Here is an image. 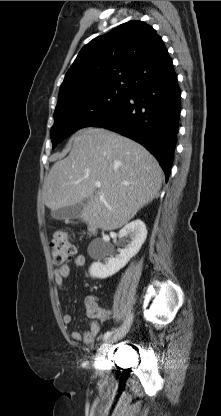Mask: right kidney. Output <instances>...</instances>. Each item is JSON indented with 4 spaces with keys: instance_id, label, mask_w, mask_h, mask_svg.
I'll return each mask as SVG.
<instances>
[{
    "instance_id": "ca27d5eb",
    "label": "right kidney",
    "mask_w": 221,
    "mask_h": 416,
    "mask_svg": "<svg viewBox=\"0 0 221 416\" xmlns=\"http://www.w3.org/2000/svg\"><path fill=\"white\" fill-rule=\"evenodd\" d=\"M129 235L131 241L124 248L119 250V254L115 257L110 256L105 258L107 255V246H102V255L97 262L92 263L89 268V273L94 278L105 279L117 273L122 269L130 259L135 256L147 237L146 226L140 219L134 220L125 225L119 232V237ZM104 260L102 263L101 260Z\"/></svg>"
}]
</instances>
